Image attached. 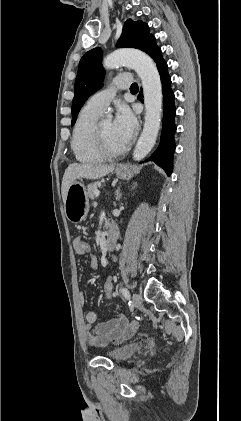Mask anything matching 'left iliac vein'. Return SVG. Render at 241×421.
I'll return each instance as SVG.
<instances>
[{
  "instance_id": "4c4485c4",
  "label": "left iliac vein",
  "mask_w": 241,
  "mask_h": 421,
  "mask_svg": "<svg viewBox=\"0 0 241 421\" xmlns=\"http://www.w3.org/2000/svg\"><path fill=\"white\" fill-rule=\"evenodd\" d=\"M143 299L142 296L138 293L132 295V303L135 307H140L142 305Z\"/></svg>"
}]
</instances>
